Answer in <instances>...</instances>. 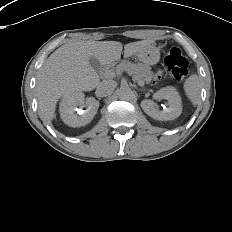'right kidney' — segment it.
I'll use <instances>...</instances> for the list:
<instances>
[{
    "mask_svg": "<svg viewBox=\"0 0 232 232\" xmlns=\"http://www.w3.org/2000/svg\"><path fill=\"white\" fill-rule=\"evenodd\" d=\"M83 107L87 109L82 110ZM98 108L99 102L95 98L90 97L85 100L84 94L79 91L65 94L59 105L61 119L70 127H80L90 123Z\"/></svg>",
    "mask_w": 232,
    "mask_h": 232,
    "instance_id": "obj_1",
    "label": "right kidney"
}]
</instances>
